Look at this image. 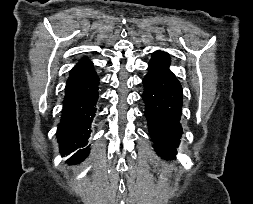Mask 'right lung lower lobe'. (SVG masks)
Listing matches in <instances>:
<instances>
[{
    "instance_id": "1",
    "label": "right lung lower lobe",
    "mask_w": 253,
    "mask_h": 204,
    "mask_svg": "<svg viewBox=\"0 0 253 204\" xmlns=\"http://www.w3.org/2000/svg\"><path fill=\"white\" fill-rule=\"evenodd\" d=\"M99 77L93 63L81 59L67 80L63 117L58 126V142L63 156L72 153L68 164L81 162L88 155L87 139L95 116Z\"/></svg>"
}]
</instances>
